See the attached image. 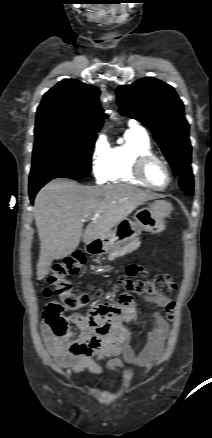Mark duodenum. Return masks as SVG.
I'll return each mask as SVG.
<instances>
[{
	"mask_svg": "<svg viewBox=\"0 0 212 438\" xmlns=\"http://www.w3.org/2000/svg\"><path fill=\"white\" fill-rule=\"evenodd\" d=\"M100 245L101 244L99 241H92L88 244L87 249L91 253H96L97 249L100 247Z\"/></svg>",
	"mask_w": 212,
	"mask_h": 438,
	"instance_id": "1",
	"label": "duodenum"
}]
</instances>
